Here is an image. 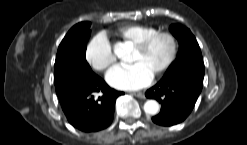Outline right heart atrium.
Wrapping results in <instances>:
<instances>
[{
    "label": "right heart atrium",
    "instance_id": "d8ad5b80",
    "mask_svg": "<svg viewBox=\"0 0 247 145\" xmlns=\"http://www.w3.org/2000/svg\"><path fill=\"white\" fill-rule=\"evenodd\" d=\"M85 57L97 71H106L115 63L112 45L103 33L96 34L87 44Z\"/></svg>",
    "mask_w": 247,
    "mask_h": 145
}]
</instances>
